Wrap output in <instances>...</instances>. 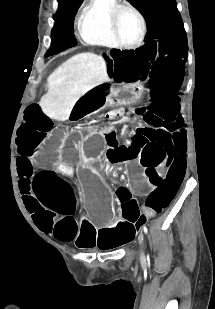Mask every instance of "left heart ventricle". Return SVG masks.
Returning <instances> with one entry per match:
<instances>
[{
    "label": "left heart ventricle",
    "instance_id": "b2bd125f",
    "mask_svg": "<svg viewBox=\"0 0 215 309\" xmlns=\"http://www.w3.org/2000/svg\"><path fill=\"white\" fill-rule=\"evenodd\" d=\"M122 14V19L119 20V29L121 38L118 41H128V44L133 42L137 36L138 26L135 17L126 11L118 12Z\"/></svg>",
    "mask_w": 215,
    "mask_h": 309
}]
</instances>
